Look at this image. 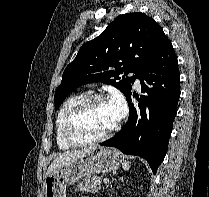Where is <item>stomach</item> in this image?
I'll list each match as a JSON object with an SVG mask.
<instances>
[{
  "label": "stomach",
  "instance_id": "stomach-1",
  "mask_svg": "<svg viewBox=\"0 0 209 197\" xmlns=\"http://www.w3.org/2000/svg\"><path fill=\"white\" fill-rule=\"evenodd\" d=\"M114 148L93 146L91 150L67 164L58 167L45 177L44 197H66V186L85 176L115 171L121 160Z\"/></svg>",
  "mask_w": 209,
  "mask_h": 197
}]
</instances>
